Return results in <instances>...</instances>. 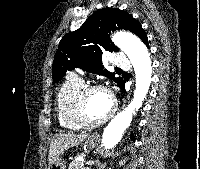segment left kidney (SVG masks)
I'll return each mask as SVG.
<instances>
[{
    "mask_svg": "<svg viewBox=\"0 0 200 169\" xmlns=\"http://www.w3.org/2000/svg\"><path fill=\"white\" fill-rule=\"evenodd\" d=\"M119 164L122 165V164H123V161H121Z\"/></svg>",
    "mask_w": 200,
    "mask_h": 169,
    "instance_id": "left-kidney-1",
    "label": "left kidney"
}]
</instances>
